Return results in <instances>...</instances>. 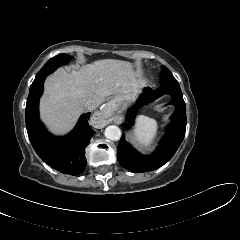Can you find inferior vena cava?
<instances>
[{
    "instance_id": "1",
    "label": "inferior vena cava",
    "mask_w": 240,
    "mask_h": 240,
    "mask_svg": "<svg viewBox=\"0 0 240 240\" xmlns=\"http://www.w3.org/2000/svg\"><path fill=\"white\" fill-rule=\"evenodd\" d=\"M96 108V105L92 101L88 100L84 103V109L92 111Z\"/></svg>"
}]
</instances>
